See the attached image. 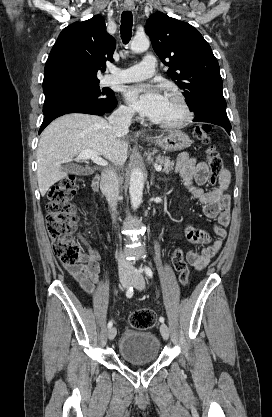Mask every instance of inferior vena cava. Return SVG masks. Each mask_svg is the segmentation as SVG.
<instances>
[{"label": "inferior vena cava", "instance_id": "inferior-vena-cava-1", "mask_svg": "<svg viewBox=\"0 0 272 417\" xmlns=\"http://www.w3.org/2000/svg\"><path fill=\"white\" fill-rule=\"evenodd\" d=\"M134 111L126 107H120L115 110L108 118L109 124L115 129L123 132H128L131 125ZM100 188L102 193L106 196L108 204L113 212V221H115L114 212L117 207V200L119 196L118 176L115 171L107 169L101 175ZM133 265L131 262L125 260V257L120 254L118 257V270L120 276L130 275L133 272Z\"/></svg>", "mask_w": 272, "mask_h": 417}]
</instances>
